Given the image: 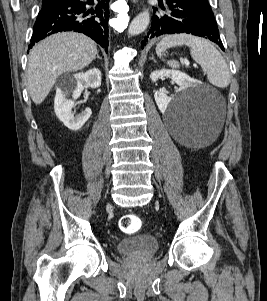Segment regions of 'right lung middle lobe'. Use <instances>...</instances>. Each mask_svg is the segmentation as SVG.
Wrapping results in <instances>:
<instances>
[{
  "label": "right lung middle lobe",
  "mask_w": 267,
  "mask_h": 301,
  "mask_svg": "<svg viewBox=\"0 0 267 301\" xmlns=\"http://www.w3.org/2000/svg\"><path fill=\"white\" fill-rule=\"evenodd\" d=\"M46 5H47L46 2L42 1V7Z\"/></svg>",
  "instance_id": "obj_1"
}]
</instances>
